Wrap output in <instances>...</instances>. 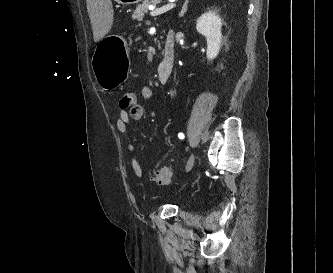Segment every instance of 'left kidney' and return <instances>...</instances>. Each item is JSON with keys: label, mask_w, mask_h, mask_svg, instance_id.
Segmentation results:
<instances>
[{"label": "left kidney", "mask_w": 333, "mask_h": 273, "mask_svg": "<svg viewBox=\"0 0 333 273\" xmlns=\"http://www.w3.org/2000/svg\"><path fill=\"white\" fill-rule=\"evenodd\" d=\"M221 27L222 20L215 10H209L202 14L196 22L197 31L204 35L207 40L206 55L208 60L216 58L220 51L222 41Z\"/></svg>", "instance_id": "left-kidney-1"}]
</instances>
